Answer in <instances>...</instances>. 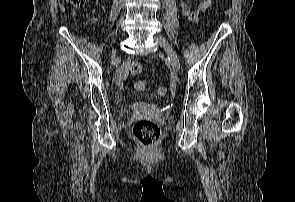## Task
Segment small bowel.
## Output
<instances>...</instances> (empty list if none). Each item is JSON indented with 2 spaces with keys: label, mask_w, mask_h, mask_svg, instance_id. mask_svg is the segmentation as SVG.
Masks as SVG:
<instances>
[{
  "label": "small bowel",
  "mask_w": 295,
  "mask_h": 202,
  "mask_svg": "<svg viewBox=\"0 0 295 202\" xmlns=\"http://www.w3.org/2000/svg\"><path fill=\"white\" fill-rule=\"evenodd\" d=\"M211 5V0H203L199 5L198 8L196 10V12L191 13L190 9L188 8V6L186 5V3L184 1L181 2V6L183 8V11L186 14H190V15H197L202 11L207 10ZM128 68H129V62H125L121 68L119 69L118 72V81H116V86H125V79L127 77L128 74ZM138 107H151V102H138Z\"/></svg>",
  "instance_id": "c3829d8e"
}]
</instances>
